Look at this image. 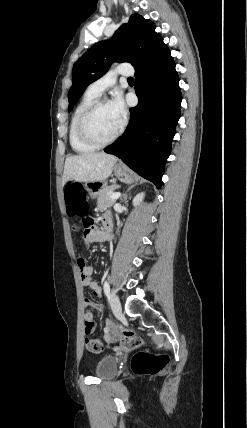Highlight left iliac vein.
Returning <instances> with one entry per match:
<instances>
[{
    "instance_id": "left-iliac-vein-1",
    "label": "left iliac vein",
    "mask_w": 247,
    "mask_h": 428,
    "mask_svg": "<svg viewBox=\"0 0 247 428\" xmlns=\"http://www.w3.org/2000/svg\"><path fill=\"white\" fill-rule=\"evenodd\" d=\"M109 301H110L112 311L114 312V314L116 316H119L122 312V307H121V303L119 301V298L117 297V295L114 292H112L110 294Z\"/></svg>"
}]
</instances>
